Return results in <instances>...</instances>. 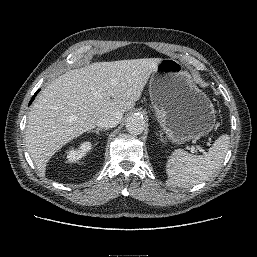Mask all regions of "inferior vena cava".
<instances>
[{"label": "inferior vena cava", "instance_id": "obj_1", "mask_svg": "<svg viewBox=\"0 0 257 257\" xmlns=\"http://www.w3.org/2000/svg\"><path fill=\"white\" fill-rule=\"evenodd\" d=\"M123 114L119 110H110L105 112L96 121V125L100 128H113L121 121Z\"/></svg>", "mask_w": 257, "mask_h": 257}]
</instances>
